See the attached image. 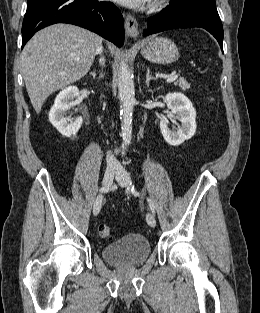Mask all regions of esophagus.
<instances>
[{
	"mask_svg": "<svg viewBox=\"0 0 260 313\" xmlns=\"http://www.w3.org/2000/svg\"><path fill=\"white\" fill-rule=\"evenodd\" d=\"M125 31L128 36L133 38H136L139 34L138 22L130 14L126 15L125 17Z\"/></svg>",
	"mask_w": 260,
	"mask_h": 313,
	"instance_id": "1",
	"label": "esophagus"
}]
</instances>
